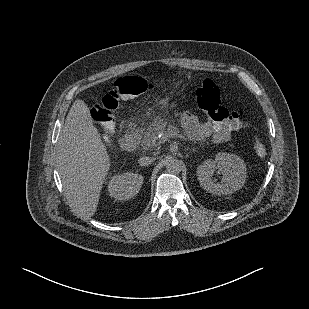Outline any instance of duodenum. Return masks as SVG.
Instances as JSON below:
<instances>
[{
	"instance_id": "410a0bca",
	"label": "duodenum",
	"mask_w": 309,
	"mask_h": 309,
	"mask_svg": "<svg viewBox=\"0 0 309 309\" xmlns=\"http://www.w3.org/2000/svg\"><path fill=\"white\" fill-rule=\"evenodd\" d=\"M137 131L129 129L120 139V146L125 151H131L137 142Z\"/></svg>"
}]
</instances>
